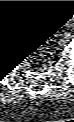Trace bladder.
<instances>
[{
  "label": "bladder",
  "instance_id": "1",
  "mask_svg": "<svg viewBox=\"0 0 74 122\" xmlns=\"http://www.w3.org/2000/svg\"><path fill=\"white\" fill-rule=\"evenodd\" d=\"M27 6H28V8H32V7H37V5H35V4H27Z\"/></svg>",
  "mask_w": 74,
  "mask_h": 122
}]
</instances>
